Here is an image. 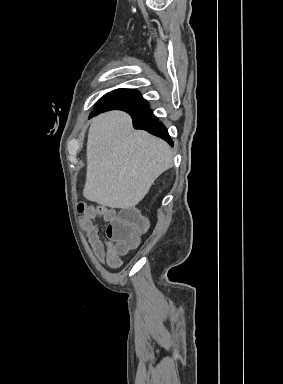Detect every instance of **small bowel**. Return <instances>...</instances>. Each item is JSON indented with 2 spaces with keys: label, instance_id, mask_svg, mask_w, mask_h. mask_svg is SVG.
Returning a JSON list of instances; mask_svg holds the SVG:
<instances>
[{
  "label": "small bowel",
  "instance_id": "obj_1",
  "mask_svg": "<svg viewBox=\"0 0 283 384\" xmlns=\"http://www.w3.org/2000/svg\"><path fill=\"white\" fill-rule=\"evenodd\" d=\"M99 217L110 224L117 217V211L104 205L88 206L83 214L82 227L98 260L111 268H118L122 265V258L113 240L108 237L107 229L106 237H103L95 224V220Z\"/></svg>",
  "mask_w": 283,
  "mask_h": 384
}]
</instances>
